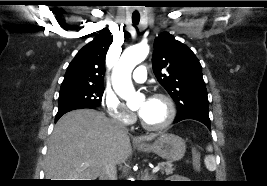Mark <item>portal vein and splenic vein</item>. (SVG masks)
<instances>
[{"label": "portal vein and splenic vein", "mask_w": 267, "mask_h": 186, "mask_svg": "<svg viewBox=\"0 0 267 186\" xmlns=\"http://www.w3.org/2000/svg\"><path fill=\"white\" fill-rule=\"evenodd\" d=\"M160 170V166H156L153 170H152V173H157L158 171Z\"/></svg>", "instance_id": "obj_1"}]
</instances>
